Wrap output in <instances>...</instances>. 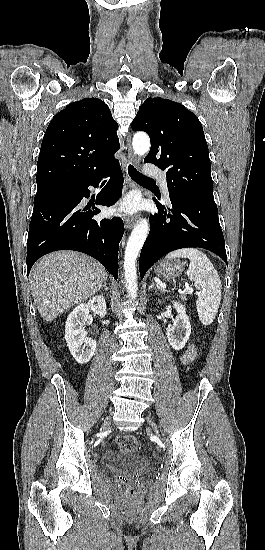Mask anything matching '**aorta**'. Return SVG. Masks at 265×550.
<instances>
[{
	"mask_svg": "<svg viewBox=\"0 0 265 550\" xmlns=\"http://www.w3.org/2000/svg\"><path fill=\"white\" fill-rule=\"evenodd\" d=\"M134 152L140 156L148 153L150 149V139L145 133H138L133 138ZM149 232V223L146 219H141L134 227L128 239L124 254V278L129 297L135 300L137 297V274L136 261L138 254L147 238Z\"/></svg>",
	"mask_w": 265,
	"mask_h": 550,
	"instance_id": "aorta-1",
	"label": "aorta"
}]
</instances>
